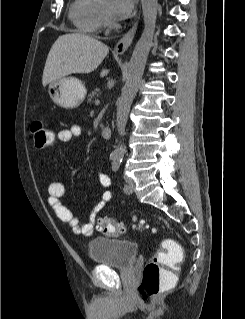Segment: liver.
Here are the masks:
<instances>
[{"label":"liver","instance_id":"obj_1","mask_svg":"<svg viewBox=\"0 0 245 319\" xmlns=\"http://www.w3.org/2000/svg\"><path fill=\"white\" fill-rule=\"evenodd\" d=\"M109 52L107 45L81 33H67L58 37L46 59L42 85L75 73L94 71ZM103 69L101 76L107 75Z\"/></svg>","mask_w":245,"mask_h":319}]
</instances>
